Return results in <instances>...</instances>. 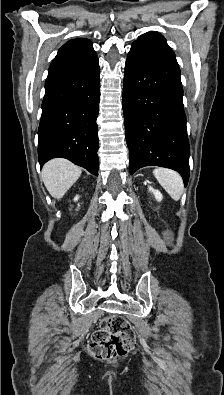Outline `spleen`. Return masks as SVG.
<instances>
[{
    "label": "spleen",
    "instance_id": "3e777b00",
    "mask_svg": "<svg viewBox=\"0 0 224 395\" xmlns=\"http://www.w3.org/2000/svg\"><path fill=\"white\" fill-rule=\"evenodd\" d=\"M157 181L175 201L180 200L184 190L182 177L176 171L167 168H156L153 171Z\"/></svg>",
    "mask_w": 224,
    "mask_h": 395
}]
</instances>
